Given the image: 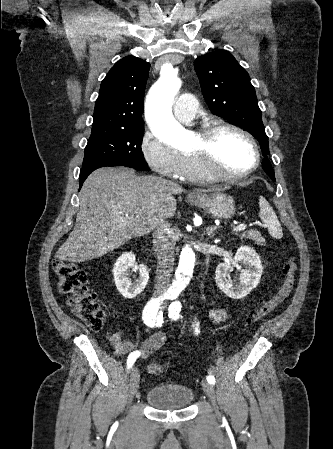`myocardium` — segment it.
<instances>
[{
  "label": "myocardium",
  "instance_id": "obj_1",
  "mask_svg": "<svg viewBox=\"0 0 333 449\" xmlns=\"http://www.w3.org/2000/svg\"><path fill=\"white\" fill-rule=\"evenodd\" d=\"M221 131H232L244 137L252 146L255 154L254 164L247 170L236 174H221L216 172L210 165V148L213 139ZM201 146L198 150L191 152L190 156L196 162L202 175L210 181L234 182L250 176L260 165L261 153L255 138L245 129L226 122H214L205 124L198 132Z\"/></svg>",
  "mask_w": 333,
  "mask_h": 449
}]
</instances>
